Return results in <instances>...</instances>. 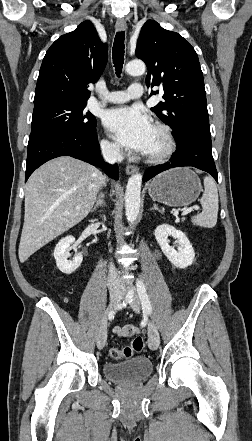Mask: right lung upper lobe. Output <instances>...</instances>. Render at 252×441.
I'll return each instance as SVG.
<instances>
[{
  "instance_id": "cb5924a9",
  "label": "right lung upper lobe",
  "mask_w": 252,
  "mask_h": 441,
  "mask_svg": "<svg viewBox=\"0 0 252 441\" xmlns=\"http://www.w3.org/2000/svg\"><path fill=\"white\" fill-rule=\"evenodd\" d=\"M108 59L107 45L100 41L90 21L59 37L48 49L37 80L34 105L62 100L86 102L88 84L96 82Z\"/></svg>"
}]
</instances>
